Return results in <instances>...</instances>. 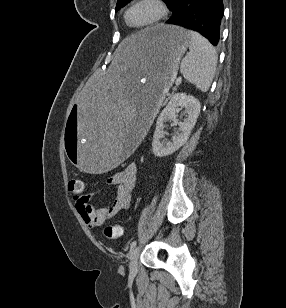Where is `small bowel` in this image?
Returning <instances> with one entry per match:
<instances>
[{
    "mask_svg": "<svg viewBox=\"0 0 286 308\" xmlns=\"http://www.w3.org/2000/svg\"><path fill=\"white\" fill-rule=\"evenodd\" d=\"M137 177L138 165L136 163H130L123 170L110 176L105 181V186L115 187L117 194L113 202L105 207L91 205L90 200L94 193H85L84 183L81 191L71 192L73 204L84 223L89 228H96L127 209Z\"/></svg>",
    "mask_w": 286,
    "mask_h": 308,
    "instance_id": "small-bowel-1",
    "label": "small bowel"
}]
</instances>
